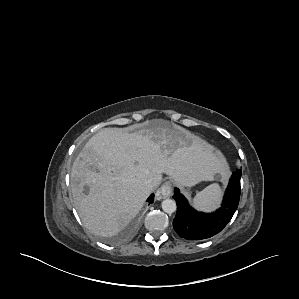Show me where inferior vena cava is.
<instances>
[{
	"mask_svg": "<svg viewBox=\"0 0 299 299\" xmlns=\"http://www.w3.org/2000/svg\"><path fill=\"white\" fill-rule=\"evenodd\" d=\"M145 186H146V188L148 189V191H152L153 190V188L155 187V185H154V183L151 181V180H147L146 182H145Z\"/></svg>",
	"mask_w": 299,
	"mask_h": 299,
	"instance_id": "602c4592",
	"label": "inferior vena cava"
}]
</instances>
